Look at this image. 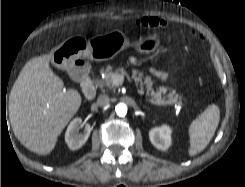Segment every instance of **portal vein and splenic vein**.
Here are the masks:
<instances>
[{"instance_id": "obj_1", "label": "portal vein and splenic vein", "mask_w": 245, "mask_h": 187, "mask_svg": "<svg viewBox=\"0 0 245 187\" xmlns=\"http://www.w3.org/2000/svg\"><path fill=\"white\" fill-rule=\"evenodd\" d=\"M124 81V76L121 74H113L112 76V83L115 86L120 85ZM148 101L154 105H169V104H178V105H183L182 101L179 100H170V101H154L152 99H148Z\"/></svg>"}]
</instances>
